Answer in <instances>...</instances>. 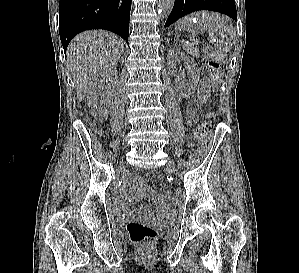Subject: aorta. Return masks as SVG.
Masks as SVG:
<instances>
[{
  "label": "aorta",
  "instance_id": "1",
  "mask_svg": "<svg viewBox=\"0 0 299 273\" xmlns=\"http://www.w3.org/2000/svg\"><path fill=\"white\" fill-rule=\"evenodd\" d=\"M175 0H159L158 6L159 11L161 13V17L167 18L168 15L171 13Z\"/></svg>",
  "mask_w": 299,
  "mask_h": 273
}]
</instances>
